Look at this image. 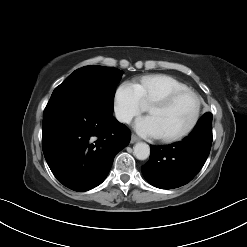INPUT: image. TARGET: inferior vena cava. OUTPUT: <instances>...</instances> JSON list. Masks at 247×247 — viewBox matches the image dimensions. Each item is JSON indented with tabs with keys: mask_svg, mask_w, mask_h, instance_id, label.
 Instances as JSON below:
<instances>
[{
	"mask_svg": "<svg viewBox=\"0 0 247 247\" xmlns=\"http://www.w3.org/2000/svg\"><path fill=\"white\" fill-rule=\"evenodd\" d=\"M116 118L118 121L122 123H130L132 120V117L130 115H127L125 113H122L120 111L116 112Z\"/></svg>",
	"mask_w": 247,
	"mask_h": 247,
	"instance_id": "inferior-vena-cava-1",
	"label": "inferior vena cava"
}]
</instances>
